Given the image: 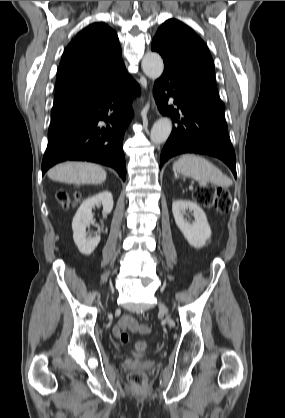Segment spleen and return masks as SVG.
Returning a JSON list of instances; mask_svg holds the SVG:
<instances>
[{
	"instance_id": "3e777b00",
	"label": "spleen",
	"mask_w": 285,
	"mask_h": 418,
	"mask_svg": "<svg viewBox=\"0 0 285 418\" xmlns=\"http://www.w3.org/2000/svg\"><path fill=\"white\" fill-rule=\"evenodd\" d=\"M173 170L201 182H210L229 187L232 180L207 159L194 154H185L173 163Z\"/></svg>"
}]
</instances>
